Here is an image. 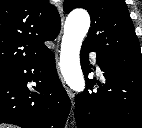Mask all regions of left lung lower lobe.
I'll list each match as a JSON object with an SVG mask.
<instances>
[{
  "mask_svg": "<svg viewBox=\"0 0 142 128\" xmlns=\"http://www.w3.org/2000/svg\"><path fill=\"white\" fill-rule=\"evenodd\" d=\"M91 47L82 45L81 68L87 89L75 98L77 128H142V73L115 69L97 54V64L104 72L105 83L88 79L92 71L88 61Z\"/></svg>",
  "mask_w": 142,
  "mask_h": 128,
  "instance_id": "left-lung-lower-lobe-1",
  "label": "left lung lower lobe"
}]
</instances>
